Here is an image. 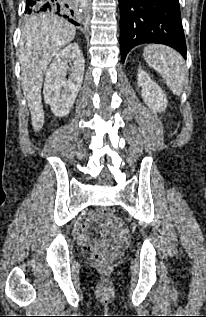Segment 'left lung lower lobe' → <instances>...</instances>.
I'll return each mask as SVG.
<instances>
[{
  "mask_svg": "<svg viewBox=\"0 0 206 317\" xmlns=\"http://www.w3.org/2000/svg\"><path fill=\"white\" fill-rule=\"evenodd\" d=\"M119 6L122 62L142 43L171 46L186 59L178 0H119Z\"/></svg>",
  "mask_w": 206,
  "mask_h": 317,
  "instance_id": "1",
  "label": "left lung lower lobe"
}]
</instances>
